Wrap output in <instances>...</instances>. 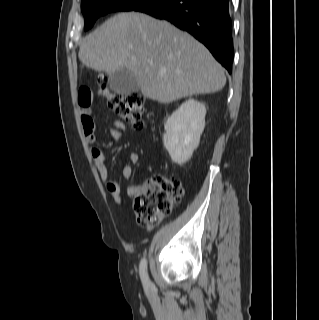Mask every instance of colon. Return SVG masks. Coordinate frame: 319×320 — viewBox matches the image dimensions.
<instances>
[{"instance_id": "obj_1", "label": "colon", "mask_w": 319, "mask_h": 320, "mask_svg": "<svg viewBox=\"0 0 319 320\" xmlns=\"http://www.w3.org/2000/svg\"><path fill=\"white\" fill-rule=\"evenodd\" d=\"M99 94L109 106L132 128L144 126L145 101L136 93L121 94L111 92L103 80L99 83ZM184 189L160 174H153L139 186L133 209L140 225L155 226L164 216L170 214L181 202Z\"/></svg>"}]
</instances>
